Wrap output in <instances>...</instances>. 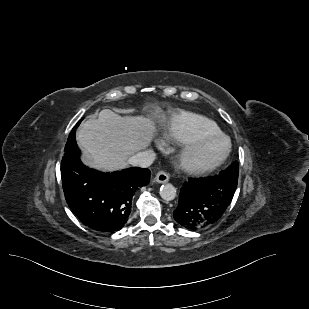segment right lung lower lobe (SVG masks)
<instances>
[{
    "label": "right lung lower lobe",
    "mask_w": 309,
    "mask_h": 309,
    "mask_svg": "<svg viewBox=\"0 0 309 309\" xmlns=\"http://www.w3.org/2000/svg\"><path fill=\"white\" fill-rule=\"evenodd\" d=\"M80 122L69 134L61 163L65 198L84 225L98 232H115L128 221L132 197L150 182V170L136 167L109 174L83 165L75 141Z\"/></svg>",
    "instance_id": "obj_1"
}]
</instances>
